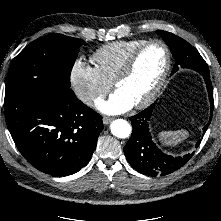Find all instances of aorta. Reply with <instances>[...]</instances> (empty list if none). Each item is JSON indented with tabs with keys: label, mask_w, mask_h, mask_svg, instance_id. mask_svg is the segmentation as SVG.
Instances as JSON below:
<instances>
[{
	"label": "aorta",
	"mask_w": 221,
	"mask_h": 221,
	"mask_svg": "<svg viewBox=\"0 0 221 221\" xmlns=\"http://www.w3.org/2000/svg\"><path fill=\"white\" fill-rule=\"evenodd\" d=\"M111 133L117 138H127L130 136L131 125L124 119H116L110 125Z\"/></svg>",
	"instance_id": "762f6f07"
}]
</instances>
